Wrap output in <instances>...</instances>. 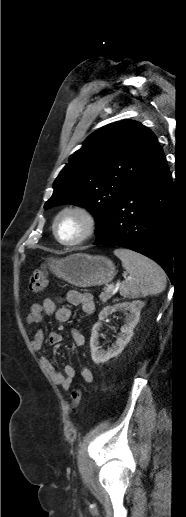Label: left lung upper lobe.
<instances>
[{
    "label": "left lung upper lobe",
    "mask_w": 186,
    "mask_h": 517,
    "mask_svg": "<svg viewBox=\"0 0 186 517\" xmlns=\"http://www.w3.org/2000/svg\"><path fill=\"white\" fill-rule=\"evenodd\" d=\"M160 149L153 132L136 121L100 128L69 158L44 208L67 202L86 207L95 216L98 234Z\"/></svg>",
    "instance_id": "1"
}]
</instances>
